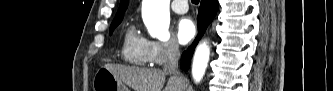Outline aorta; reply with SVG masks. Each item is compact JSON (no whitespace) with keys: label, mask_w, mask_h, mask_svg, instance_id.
<instances>
[{"label":"aorta","mask_w":333,"mask_h":91,"mask_svg":"<svg viewBox=\"0 0 333 91\" xmlns=\"http://www.w3.org/2000/svg\"><path fill=\"white\" fill-rule=\"evenodd\" d=\"M170 0H143L142 16L149 34L161 41L169 39ZM210 49L206 42L201 43L194 54L192 75L196 83L205 74L209 61Z\"/></svg>","instance_id":"762f6f07"}]
</instances>
